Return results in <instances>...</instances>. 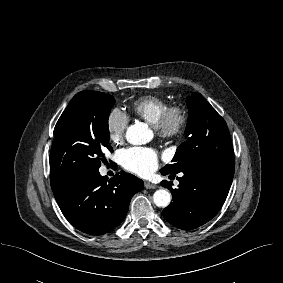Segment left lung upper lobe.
I'll use <instances>...</instances> for the list:
<instances>
[{"mask_svg":"<svg viewBox=\"0 0 283 283\" xmlns=\"http://www.w3.org/2000/svg\"><path fill=\"white\" fill-rule=\"evenodd\" d=\"M187 140L176 150L172 164L161 170L178 173L196 166H222L234 162L230 134L224 119L199 93L187 98Z\"/></svg>","mask_w":283,"mask_h":283,"instance_id":"1","label":"left lung upper lobe"}]
</instances>
